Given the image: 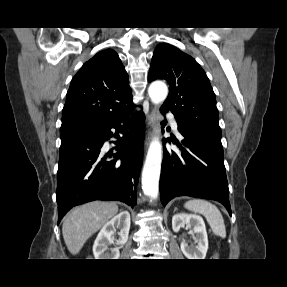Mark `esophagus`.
Here are the masks:
<instances>
[{
    "mask_svg": "<svg viewBox=\"0 0 287 287\" xmlns=\"http://www.w3.org/2000/svg\"><path fill=\"white\" fill-rule=\"evenodd\" d=\"M158 119H159V112L156 108H153L148 115V126L150 128H154ZM151 136H152V133L149 132L148 136L146 137V140H145V148L148 146V143L151 139Z\"/></svg>",
    "mask_w": 287,
    "mask_h": 287,
    "instance_id": "34e87169",
    "label": "esophagus"
}]
</instances>
